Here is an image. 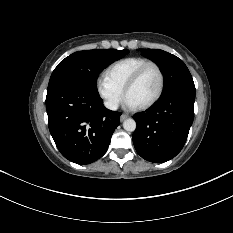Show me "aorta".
Returning a JSON list of instances; mask_svg holds the SVG:
<instances>
[{"label": "aorta", "mask_w": 233, "mask_h": 233, "mask_svg": "<svg viewBox=\"0 0 233 233\" xmlns=\"http://www.w3.org/2000/svg\"><path fill=\"white\" fill-rule=\"evenodd\" d=\"M136 122L134 119H126L124 122H123V128L128 131V132H133L135 131L136 129Z\"/></svg>", "instance_id": "762f6f07"}]
</instances>
